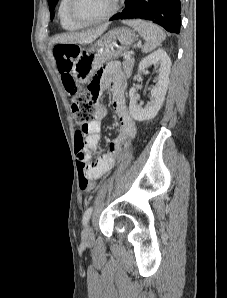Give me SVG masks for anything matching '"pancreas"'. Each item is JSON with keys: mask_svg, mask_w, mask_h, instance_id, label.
<instances>
[{"mask_svg": "<svg viewBox=\"0 0 227 298\" xmlns=\"http://www.w3.org/2000/svg\"><path fill=\"white\" fill-rule=\"evenodd\" d=\"M123 71L125 72V74L127 76H129L132 72L133 66H134V59L130 58V59H126L123 61Z\"/></svg>", "mask_w": 227, "mask_h": 298, "instance_id": "1", "label": "pancreas"}]
</instances>
